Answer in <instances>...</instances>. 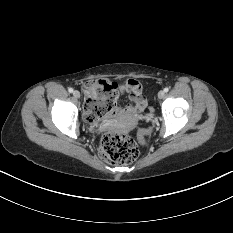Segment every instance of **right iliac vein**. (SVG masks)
<instances>
[{"label": "right iliac vein", "instance_id": "63e3f726", "mask_svg": "<svg viewBox=\"0 0 233 233\" xmlns=\"http://www.w3.org/2000/svg\"><path fill=\"white\" fill-rule=\"evenodd\" d=\"M73 95L75 98H80V92L77 90L73 92Z\"/></svg>", "mask_w": 233, "mask_h": 233}]
</instances>
